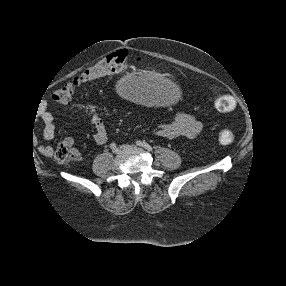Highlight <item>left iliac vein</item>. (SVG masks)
I'll return each instance as SVG.
<instances>
[{
	"label": "left iliac vein",
	"mask_w": 286,
	"mask_h": 286,
	"mask_svg": "<svg viewBox=\"0 0 286 286\" xmlns=\"http://www.w3.org/2000/svg\"><path fill=\"white\" fill-rule=\"evenodd\" d=\"M133 147H135V145H131V144H124V145H122L121 146V149H129V148H133Z\"/></svg>",
	"instance_id": "1"
}]
</instances>
